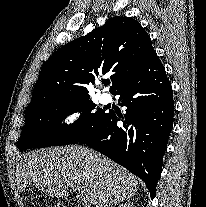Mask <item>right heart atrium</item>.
I'll return each instance as SVG.
<instances>
[{
  "label": "right heart atrium",
  "instance_id": "1",
  "mask_svg": "<svg viewBox=\"0 0 206 207\" xmlns=\"http://www.w3.org/2000/svg\"><path fill=\"white\" fill-rule=\"evenodd\" d=\"M83 119V112L80 109H73L66 113L62 118V125L65 128H74L80 124Z\"/></svg>",
  "mask_w": 206,
  "mask_h": 207
}]
</instances>
